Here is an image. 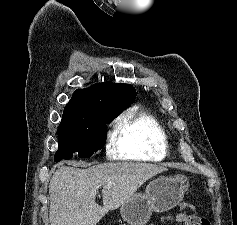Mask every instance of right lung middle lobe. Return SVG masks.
Instances as JSON below:
<instances>
[{
  "mask_svg": "<svg viewBox=\"0 0 237 225\" xmlns=\"http://www.w3.org/2000/svg\"><path fill=\"white\" fill-rule=\"evenodd\" d=\"M119 114L110 111L96 113L90 122L78 123L62 120L58 128L59 147L55 153L56 162L72 158L78 152L81 158H88L100 150L105 143L107 126Z\"/></svg>",
  "mask_w": 237,
  "mask_h": 225,
  "instance_id": "right-lung-middle-lobe-1",
  "label": "right lung middle lobe"
}]
</instances>
